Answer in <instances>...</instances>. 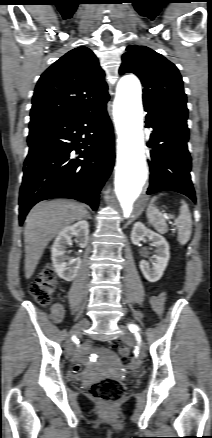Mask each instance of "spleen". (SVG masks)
Instances as JSON below:
<instances>
[{"instance_id":"obj_1","label":"spleen","mask_w":212,"mask_h":438,"mask_svg":"<svg viewBox=\"0 0 212 438\" xmlns=\"http://www.w3.org/2000/svg\"><path fill=\"white\" fill-rule=\"evenodd\" d=\"M163 194H160L161 196ZM158 196H154L149 204L146 215L152 226L161 234H165L168 231L165 216L153 206V202L157 200ZM175 225L178 229L177 240L179 244L185 245L191 237L192 233V219L188 205L184 200H181L180 213L175 219Z\"/></svg>"}]
</instances>
